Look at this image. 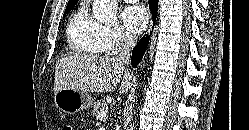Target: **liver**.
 <instances>
[{
	"label": "liver",
	"instance_id": "obj_1",
	"mask_svg": "<svg viewBox=\"0 0 249 130\" xmlns=\"http://www.w3.org/2000/svg\"><path fill=\"white\" fill-rule=\"evenodd\" d=\"M132 76L117 58L81 54L61 58L55 66L54 94L63 89L111 92L121 81L119 93L128 92Z\"/></svg>",
	"mask_w": 249,
	"mask_h": 130
}]
</instances>
